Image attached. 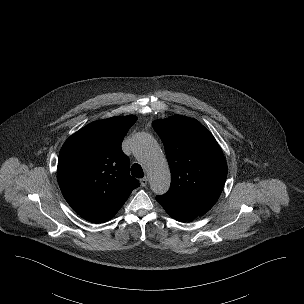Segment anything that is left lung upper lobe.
Listing matches in <instances>:
<instances>
[{
    "label": "left lung upper lobe",
    "mask_w": 304,
    "mask_h": 304,
    "mask_svg": "<svg viewBox=\"0 0 304 304\" xmlns=\"http://www.w3.org/2000/svg\"><path fill=\"white\" fill-rule=\"evenodd\" d=\"M171 170L169 191L157 196L197 216L218 200L227 177V164L212 134L198 121L175 115L155 120Z\"/></svg>",
    "instance_id": "1"
}]
</instances>
